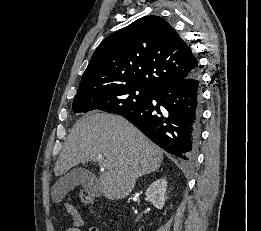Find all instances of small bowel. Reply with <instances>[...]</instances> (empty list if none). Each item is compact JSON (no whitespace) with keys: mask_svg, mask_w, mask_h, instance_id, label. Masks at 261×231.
I'll list each match as a JSON object with an SVG mask.
<instances>
[{"mask_svg":"<svg viewBox=\"0 0 261 231\" xmlns=\"http://www.w3.org/2000/svg\"><path fill=\"white\" fill-rule=\"evenodd\" d=\"M62 204H63V207L66 210V212L72 218L71 227L67 228L65 231H82V227L84 226V220H83L81 214L79 213V211L68 200H63ZM88 231H98V229L91 227V228H88Z\"/></svg>","mask_w":261,"mask_h":231,"instance_id":"1","label":"small bowel"}]
</instances>
